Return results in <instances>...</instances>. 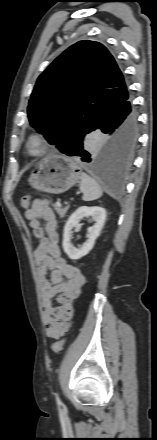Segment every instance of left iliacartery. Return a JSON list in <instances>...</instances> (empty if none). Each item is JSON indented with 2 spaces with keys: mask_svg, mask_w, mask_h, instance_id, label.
<instances>
[{
  "mask_svg": "<svg viewBox=\"0 0 157 440\" xmlns=\"http://www.w3.org/2000/svg\"><path fill=\"white\" fill-rule=\"evenodd\" d=\"M55 395H56V401H57L58 405L61 406L62 402L60 401L58 394L56 393Z\"/></svg>",
  "mask_w": 157,
  "mask_h": 440,
  "instance_id": "obj_1",
  "label": "left iliac artery"
}]
</instances>
